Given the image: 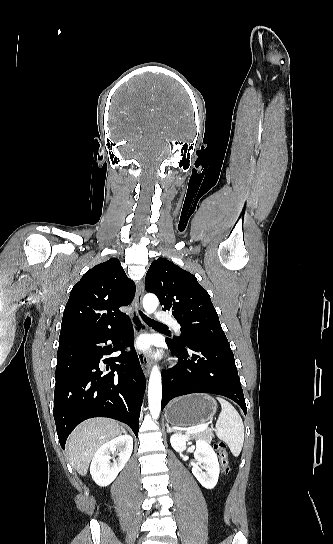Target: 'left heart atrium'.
<instances>
[{
    "mask_svg": "<svg viewBox=\"0 0 333 544\" xmlns=\"http://www.w3.org/2000/svg\"><path fill=\"white\" fill-rule=\"evenodd\" d=\"M138 346L141 349H146L148 347V341L146 339H142V340L139 341Z\"/></svg>",
    "mask_w": 333,
    "mask_h": 544,
    "instance_id": "1",
    "label": "left heart atrium"
}]
</instances>
